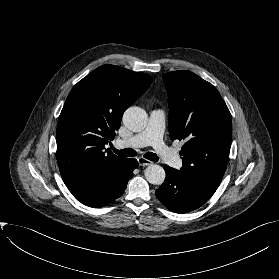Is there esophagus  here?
<instances>
[{
	"mask_svg": "<svg viewBox=\"0 0 279 279\" xmlns=\"http://www.w3.org/2000/svg\"><path fill=\"white\" fill-rule=\"evenodd\" d=\"M137 160H138V163H139L140 166H149V165L152 164L151 161H149V160H147L143 157H139Z\"/></svg>",
	"mask_w": 279,
	"mask_h": 279,
	"instance_id": "esophagus-1",
	"label": "esophagus"
}]
</instances>
